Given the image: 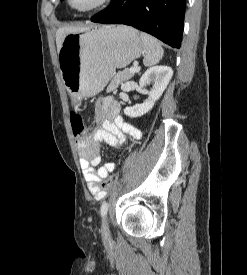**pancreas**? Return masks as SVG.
<instances>
[{
	"label": "pancreas",
	"mask_w": 247,
	"mask_h": 275,
	"mask_svg": "<svg viewBox=\"0 0 247 275\" xmlns=\"http://www.w3.org/2000/svg\"><path fill=\"white\" fill-rule=\"evenodd\" d=\"M134 76V73L130 72L129 70H125L122 72H119L114 79L111 81L109 86L107 87V92L114 91L116 92L118 86L122 84L125 81H128Z\"/></svg>",
	"instance_id": "pancreas-1"
}]
</instances>
